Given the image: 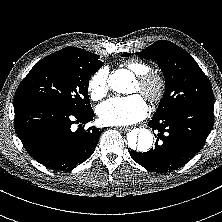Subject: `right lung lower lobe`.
Instances as JSON below:
<instances>
[{"label":"right lung lower lobe","instance_id":"obj_1","mask_svg":"<svg viewBox=\"0 0 222 222\" xmlns=\"http://www.w3.org/2000/svg\"><path fill=\"white\" fill-rule=\"evenodd\" d=\"M14 127L27 152L53 170L68 171L94 152L101 129H81L93 120L94 112H72L42 100L14 101ZM79 124L76 131L71 126Z\"/></svg>","mask_w":222,"mask_h":222}]
</instances>
